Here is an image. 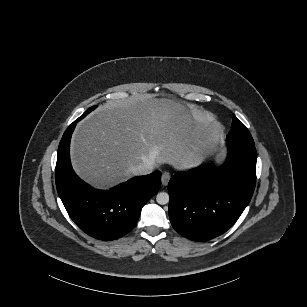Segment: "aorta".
<instances>
[{
    "label": "aorta",
    "mask_w": 307,
    "mask_h": 307,
    "mask_svg": "<svg viewBox=\"0 0 307 307\" xmlns=\"http://www.w3.org/2000/svg\"><path fill=\"white\" fill-rule=\"evenodd\" d=\"M156 202L165 205L169 202V195L166 192H160L156 196Z\"/></svg>",
    "instance_id": "aorta-1"
}]
</instances>
